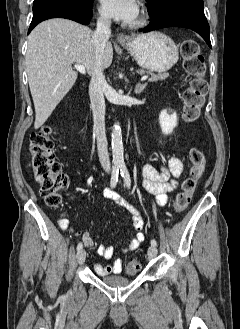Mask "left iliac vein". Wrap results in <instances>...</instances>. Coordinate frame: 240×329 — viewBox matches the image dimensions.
Returning a JSON list of instances; mask_svg holds the SVG:
<instances>
[{"label": "left iliac vein", "mask_w": 240, "mask_h": 329, "mask_svg": "<svg viewBox=\"0 0 240 329\" xmlns=\"http://www.w3.org/2000/svg\"><path fill=\"white\" fill-rule=\"evenodd\" d=\"M156 254H157L156 247H153V246L149 247V249H148V257L150 259H152V258H154L156 256Z\"/></svg>", "instance_id": "4c4485c4"}]
</instances>
